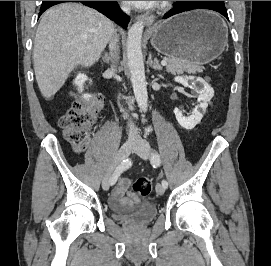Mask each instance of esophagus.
Instances as JSON below:
<instances>
[{
	"label": "esophagus",
	"mask_w": 271,
	"mask_h": 266,
	"mask_svg": "<svg viewBox=\"0 0 271 266\" xmlns=\"http://www.w3.org/2000/svg\"><path fill=\"white\" fill-rule=\"evenodd\" d=\"M154 16L149 14H142L137 16V20L143 21L147 27H150L154 22Z\"/></svg>",
	"instance_id": "obj_1"
}]
</instances>
